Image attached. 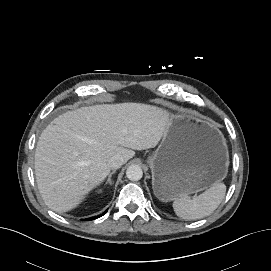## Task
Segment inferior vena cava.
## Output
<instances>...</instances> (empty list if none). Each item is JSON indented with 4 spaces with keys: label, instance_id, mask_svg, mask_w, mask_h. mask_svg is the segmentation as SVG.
<instances>
[{
    "label": "inferior vena cava",
    "instance_id": "602c4592",
    "mask_svg": "<svg viewBox=\"0 0 271 271\" xmlns=\"http://www.w3.org/2000/svg\"><path fill=\"white\" fill-rule=\"evenodd\" d=\"M124 164V158L120 155H114L108 160V166L111 169H118Z\"/></svg>",
    "mask_w": 271,
    "mask_h": 271
}]
</instances>
